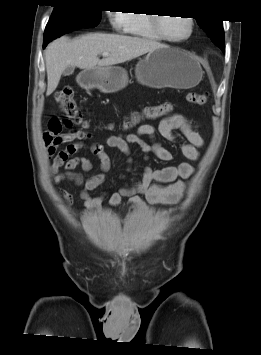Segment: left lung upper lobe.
<instances>
[{
	"instance_id": "5c2ea615",
	"label": "left lung upper lobe",
	"mask_w": 261,
	"mask_h": 355,
	"mask_svg": "<svg viewBox=\"0 0 261 355\" xmlns=\"http://www.w3.org/2000/svg\"><path fill=\"white\" fill-rule=\"evenodd\" d=\"M199 26L207 33L210 39L225 51L224 30L222 20L196 18Z\"/></svg>"
}]
</instances>
